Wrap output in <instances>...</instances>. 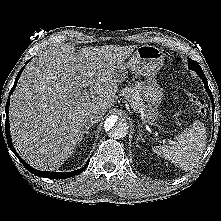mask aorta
<instances>
[{
    "mask_svg": "<svg viewBox=\"0 0 221 221\" xmlns=\"http://www.w3.org/2000/svg\"><path fill=\"white\" fill-rule=\"evenodd\" d=\"M104 128L109 136L115 139L123 138L129 132L127 121L116 115H112L106 119Z\"/></svg>",
    "mask_w": 221,
    "mask_h": 221,
    "instance_id": "762f6f07",
    "label": "aorta"
}]
</instances>
